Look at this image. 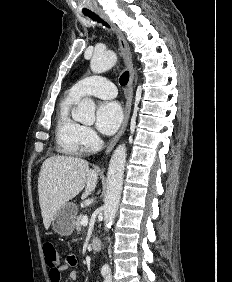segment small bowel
Listing matches in <instances>:
<instances>
[{
	"label": "small bowel",
	"mask_w": 232,
	"mask_h": 282,
	"mask_svg": "<svg viewBox=\"0 0 232 282\" xmlns=\"http://www.w3.org/2000/svg\"><path fill=\"white\" fill-rule=\"evenodd\" d=\"M77 265V258L74 254L67 255L65 262L60 264L55 272L50 271L49 279L51 282H61V274L63 271L70 270L68 278L70 281H76L78 279V273L74 269Z\"/></svg>",
	"instance_id": "obj_1"
}]
</instances>
